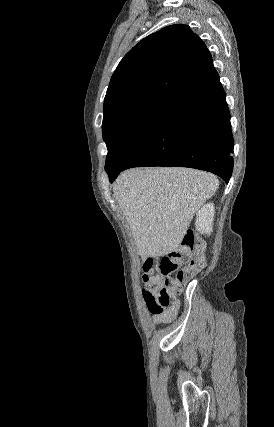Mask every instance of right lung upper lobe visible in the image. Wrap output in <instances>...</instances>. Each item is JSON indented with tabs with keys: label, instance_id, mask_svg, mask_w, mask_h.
Wrapping results in <instances>:
<instances>
[{
	"label": "right lung upper lobe",
	"instance_id": "right-lung-upper-lobe-1",
	"mask_svg": "<svg viewBox=\"0 0 274 427\" xmlns=\"http://www.w3.org/2000/svg\"><path fill=\"white\" fill-rule=\"evenodd\" d=\"M217 75L206 45L188 25L167 26L141 40L120 61L104 112L149 94L179 99Z\"/></svg>",
	"mask_w": 274,
	"mask_h": 427
}]
</instances>
